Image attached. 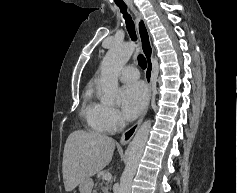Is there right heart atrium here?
Here are the masks:
<instances>
[{
  "instance_id": "right-heart-atrium-1",
  "label": "right heart atrium",
  "mask_w": 237,
  "mask_h": 193,
  "mask_svg": "<svg viewBox=\"0 0 237 193\" xmlns=\"http://www.w3.org/2000/svg\"><path fill=\"white\" fill-rule=\"evenodd\" d=\"M104 122L107 130L109 132H112L121 127L123 119L120 112L117 109L105 106Z\"/></svg>"
}]
</instances>
